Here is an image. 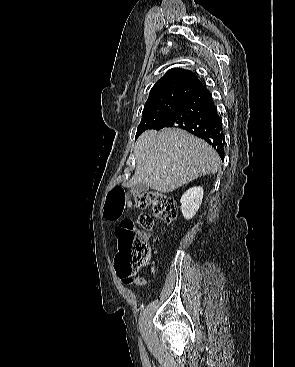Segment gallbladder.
Returning a JSON list of instances; mask_svg holds the SVG:
<instances>
[{"label":"gallbladder","mask_w":295,"mask_h":367,"mask_svg":"<svg viewBox=\"0 0 295 367\" xmlns=\"http://www.w3.org/2000/svg\"><path fill=\"white\" fill-rule=\"evenodd\" d=\"M149 187L143 183H137L136 185L133 186V192L136 194H139L141 192H144L146 190H148Z\"/></svg>","instance_id":"1"}]
</instances>
